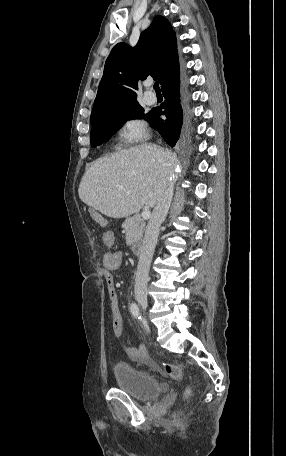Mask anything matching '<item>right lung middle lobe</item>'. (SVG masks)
<instances>
[{"mask_svg":"<svg viewBox=\"0 0 286 456\" xmlns=\"http://www.w3.org/2000/svg\"><path fill=\"white\" fill-rule=\"evenodd\" d=\"M151 112L144 114V109L140 106L139 103L114 108L100 115L95 120L91 121L92 130L90 134V141L92 147L107 142L111 136L119 130L127 120L144 118L149 120ZM187 132L185 133L184 138H186Z\"/></svg>","mask_w":286,"mask_h":456,"instance_id":"1","label":"right lung middle lobe"}]
</instances>
